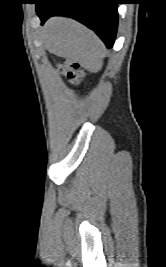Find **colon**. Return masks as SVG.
Instances as JSON below:
<instances>
[{
  "mask_svg": "<svg viewBox=\"0 0 166 267\" xmlns=\"http://www.w3.org/2000/svg\"><path fill=\"white\" fill-rule=\"evenodd\" d=\"M59 70L68 78L72 85H78L84 77V71L78 62L74 60H65Z\"/></svg>",
  "mask_w": 166,
  "mask_h": 267,
  "instance_id": "obj_1",
  "label": "colon"
}]
</instances>
